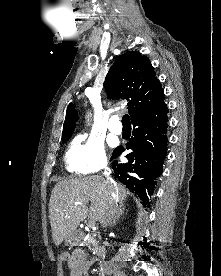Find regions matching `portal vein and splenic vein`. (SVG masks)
I'll use <instances>...</instances> for the list:
<instances>
[{
    "label": "portal vein and splenic vein",
    "mask_w": 221,
    "mask_h": 276,
    "mask_svg": "<svg viewBox=\"0 0 221 276\" xmlns=\"http://www.w3.org/2000/svg\"><path fill=\"white\" fill-rule=\"evenodd\" d=\"M77 204H81L80 202H78ZM93 226V223L89 222L88 223V227H92Z\"/></svg>",
    "instance_id": "portal-vein-and-splenic-vein-1"
}]
</instances>
